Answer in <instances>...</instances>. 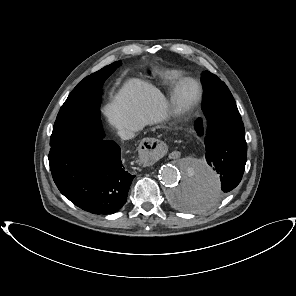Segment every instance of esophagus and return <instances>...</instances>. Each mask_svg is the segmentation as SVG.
<instances>
[{
	"label": "esophagus",
	"instance_id": "34e87169",
	"mask_svg": "<svg viewBox=\"0 0 296 296\" xmlns=\"http://www.w3.org/2000/svg\"><path fill=\"white\" fill-rule=\"evenodd\" d=\"M166 147L161 139L146 138L138 147V156L147 163H157L166 153Z\"/></svg>",
	"mask_w": 296,
	"mask_h": 296
}]
</instances>
